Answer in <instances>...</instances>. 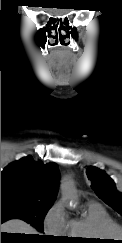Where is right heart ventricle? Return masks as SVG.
I'll return each instance as SVG.
<instances>
[{"label":"right heart ventricle","instance_id":"obj_1","mask_svg":"<svg viewBox=\"0 0 122 243\" xmlns=\"http://www.w3.org/2000/svg\"><path fill=\"white\" fill-rule=\"evenodd\" d=\"M115 224L107 210L96 202H89L80 217L68 220L66 235L79 239H109V226Z\"/></svg>","mask_w":122,"mask_h":243}]
</instances>
